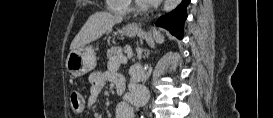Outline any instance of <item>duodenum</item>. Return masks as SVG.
Wrapping results in <instances>:
<instances>
[{
    "instance_id": "duodenum-1",
    "label": "duodenum",
    "mask_w": 273,
    "mask_h": 118,
    "mask_svg": "<svg viewBox=\"0 0 273 118\" xmlns=\"http://www.w3.org/2000/svg\"><path fill=\"white\" fill-rule=\"evenodd\" d=\"M114 84L118 93H123L125 91L126 89L125 80H116Z\"/></svg>"
}]
</instances>
